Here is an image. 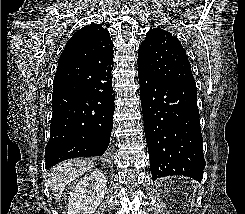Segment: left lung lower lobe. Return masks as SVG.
I'll return each instance as SVG.
<instances>
[{
	"label": "left lung lower lobe",
	"mask_w": 245,
	"mask_h": 214,
	"mask_svg": "<svg viewBox=\"0 0 245 214\" xmlns=\"http://www.w3.org/2000/svg\"><path fill=\"white\" fill-rule=\"evenodd\" d=\"M153 180L183 175L201 182L205 160L196 85L155 79L138 70Z\"/></svg>",
	"instance_id": "left-lung-lower-lobe-1"
}]
</instances>
